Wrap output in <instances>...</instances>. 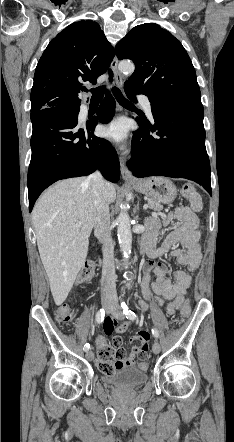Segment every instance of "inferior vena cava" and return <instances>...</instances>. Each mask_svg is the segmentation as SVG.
Listing matches in <instances>:
<instances>
[{"instance_id":"obj_1","label":"inferior vena cava","mask_w":234,"mask_h":442,"mask_svg":"<svg viewBox=\"0 0 234 442\" xmlns=\"http://www.w3.org/2000/svg\"><path fill=\"white\" fill-rule=\"evenodd\" d=\"M91 186L96 207L95 234L102 244L103 267L101 279V296L105 299L116 298V274L114 266V244L110 229L109 204L106 198L105 181L99 171L87 178Z\"/></svg>"}]
</instances>
